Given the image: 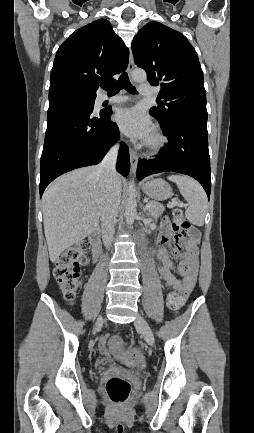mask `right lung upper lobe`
<instances>
[{
	"label": "right lung upper lobe",
	"mask_w": 254,
	"mask_h": 433,
	"mask_svg": "<svg viewBox=\"0 0 254 433\" xmlns=\"http://www.w3.org/2000/svg\"><path fill=\"white\" fill-rule=\"evenodd\" d=\"M129 50L110 22L99 19L79 28L59 47L51 70L49 102L92 99L102 83L127 68Z\"/></svg>",
	"instance_id": "1"
}]
</instances>
